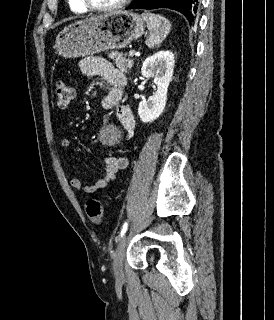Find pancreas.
<instances>
[{
  "label": "pancreas",
  "instance_id": "1",
  "mask_svg": "<svg viewBox=\"0 0 274 320\" xmlns=\"http://www.w3.org/2000/svg\"><path fill=\"white\" fill-rule=\"evenodd\" d=\"M107 56L113 60L118 70H121V72H126V74L129 72V70H131L134 64V60H131V58H126L122 52H114V50H112V52H109Z\"/></svg>",
  "mask_w": 274,
  "mask_h": 320
}]
</instances>
